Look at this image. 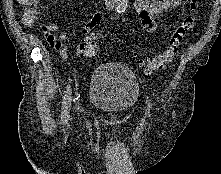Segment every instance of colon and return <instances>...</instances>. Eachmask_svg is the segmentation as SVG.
<instances>
[{
	"mask_svg": "<svg viewBox=\"0 0 221 174\" xmlns=\"http://www.w3.org/2000/svg\"><path fill=\"white\" fill-rule=\"evenodd\" d=\"M23 7L22 19L26 25H31L35 19V6L38 0H17ZM190 13L178 23L170 35L168 45L159 53L140 61V65L147 71L153 72L164 68L178 53V49L186 35L195 25V11L198 8L199 0H188ZM82 55L86 58H92L97 54L98 46L94 38L85 34L82 43L79 46Z\"/></svg>",
	"mask_w": 221,
	"mask_h": 174,
	"instance_id": "obj_1",
	"label": "colon"
}]
</instances>
